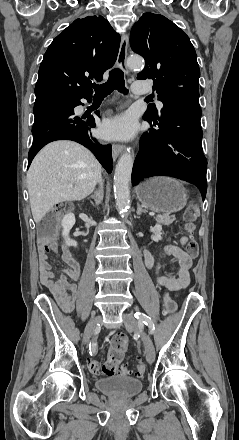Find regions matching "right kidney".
<instances>
[{
	"instance_id": "right-kidney-1",
	"label": "right kidney",
	"mask_w": 239,
	"mask_h": 440,
	"mask_svg": "<svg viewBox=\"0 0 239 440\" xmlns=\"http://www.w3.org/2000/svg\"><path fill=\"white\" fill-rule=\"evenodd\" d=\"M75 222L76 220L74 214H66V216H64L62 220V228H63L62 236L66 238V242H68L70 246H77V242H75V240H70L69 238V232L71 228H73Z\"/></svg>"
}]
</instances>
